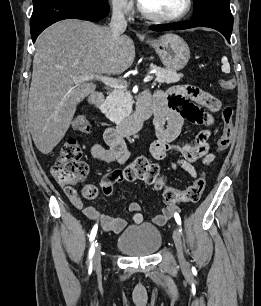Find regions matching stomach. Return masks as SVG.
I'll return each mask as SVG.
<instances>
[{
  "instance_id": "obj_1",
  "label": "stomach",
  "mask_w": 261,
  "mask_h": 306,
  "mask_svg": "<svg viewBox=\"0 0 261 306\" xmlns=\"http://www.w3.org/2000/svg\"><path fill=\"white\" fill-rule=\"evenodd\" d=\"M148 43L155 49L166 69L179 71L190 59V49L187 43L178 35L167 33Z\"/></svg>"
}]
</instances>
